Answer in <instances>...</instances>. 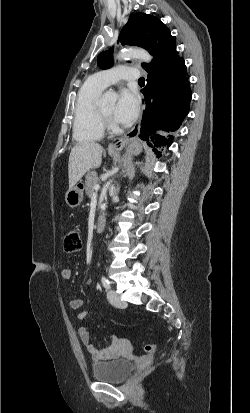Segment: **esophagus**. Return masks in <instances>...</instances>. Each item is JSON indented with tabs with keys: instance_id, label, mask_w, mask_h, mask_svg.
<instances>
[{
	"instance_id": "1",
	"label": "esophagus",
	"mask_w": 250,
	"mask_h": 413,
	"mask_svg": "<svg viewBox=\"0 0 250 413\" xmlns=\"http://www.w3.org/2000/svg\"><path fill=\"white\" fill-rule=\"evenodd\" d=\"M140 119L138 122L133 126V128L127 132L123 137L114 139L109 145H108V151L112 153H118L120 152L126 144H128L131 140L136 138L139 134L140 131Z\"/></svg>"
}]
</instances>
